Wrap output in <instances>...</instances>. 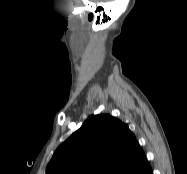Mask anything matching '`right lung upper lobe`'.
<instances>
[{
	"instance_id": "obj_1",
	"label": "right lung upper lobe",
	"mask_w": 187,
	"mask_h": 174,
	"mask_svg": "<svg viewBox=\"0 0 187 174\" xmlns=\"http://www.w3.org/2000/svg\"><path fill=\"white\" fill-rule=\"evenodd\" d=\"M151 167L128 126L92 115L54 152L46 174H147Z\"/></svg>"
}]
</instances>
